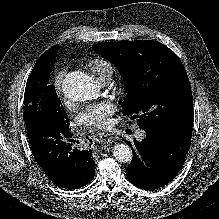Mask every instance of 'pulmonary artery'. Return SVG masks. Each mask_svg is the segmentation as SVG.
I'll return each instance as SVG.
<instances>
[{
	"mask_svg": "<svg viewBox=\"0 0 219 219\" xmlns=\"http://www.w3.org/2000/svg\"><path fill=\"white\" fill-rule=\"evenodd\" d=\"M110 78H111L110 76H103V77L99 78L97 80V82L100 85L104 86V85L108 84V82L110 81ZM137 136H138L139 139H141V138H143L144 133L143 132H139Z\"/></svg>",
	"mask_w": 219,
	"mask_h": 219,
	"instance_id": "obj_1",
	"label": "pulmonary artery"
}]
</instances>
